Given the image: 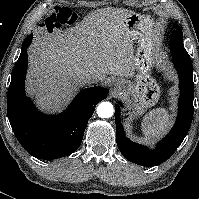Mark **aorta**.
<instances>
[{
  "label": "aorta",
  "mask_w": 199,
  "mask_h": 199,
  "mask_svg": "<svg viewBox=\"0 0 199 199\" xmlns=\"http://www.w3.org/2000/svg\"><path fill=\"white\" fill-rule=\"evenodd\" d=\"M114 108L110 102H102L97 107V114L101 118H109L113 115Z\"/></svg>",
  "instance_id": "762f6f07"
}]
</instances>
